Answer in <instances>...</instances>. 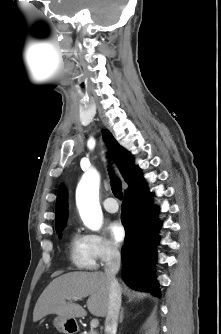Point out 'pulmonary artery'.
I'll return each mask as SVG.
<instances>
[{"label": "pulmonary artery", "mask_w": 221, "mask_h": 334, "mask_svg": "<svg viewBox=\"0 0 221 334\" xmlns=\"http://www.w3.org/2000/svg\"><path fill=\"white\" fill-rule=\"evenodd\" d=\"M103 207L109 213H115L119 209V205L113 197H107L103 202Z\"/></svg>", "instance_id": "1"}]
</instances>
